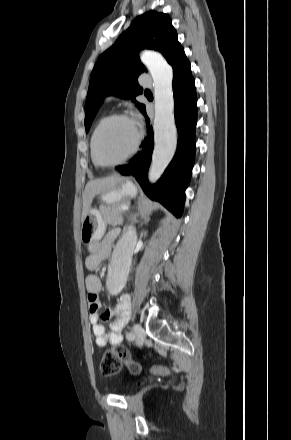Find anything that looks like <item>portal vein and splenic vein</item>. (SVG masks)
<instances>
[{
  "label": "portal vein and splenic vein",
  "instance_id": "obj_1",
  "mask_svg": "<svg viewBox=\"0 0 291 440\" xmlns=\"http://www.w3.org/2000/svg\"><path fill=\"white\" fill-rule=\"evenodd\" d=\"M121 208H122V210H124V211H127V210L129 209V208H128L127 206H125V205L122 206Z\"/></svg>",
  "mask_w": 291,
  "mask_h": 440
}]
</instances>
